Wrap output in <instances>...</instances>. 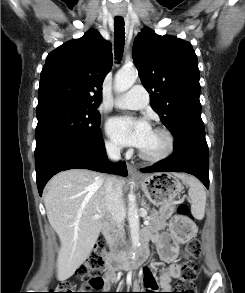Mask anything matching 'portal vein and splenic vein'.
Returning <instances> with one entry per match:
<instances>
[{"instance_id":"1","label":"portal vein and splenic vein","mask_w":245,"mask_h":293,"mask_svg":"<svg viewBox=\"0 0 245 293\" xmlns=\"http://www.w3.org/2000/svg\"><path fill=\"white\" fill-rule=\"evenodd\" d=\"M100 217V215H95L93 218H99ZM144 224L145 225H148L149 224V221L148 220H145L144 221Z\"/></svg>"}]
</instances>
